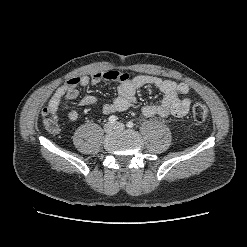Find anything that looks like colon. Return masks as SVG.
Returning <instances> with one entry per match:
<instances>
[{
    "label": "colon",
    "mask_w": 247,
    "mask_h": 247,
    "mask_svg": "<svg viewBox=\"0 0 247 247\" xmlns=\"http://www.w3.org/2000/svg\"><path fill=\"white\" fill-rule=\"evenodd\" d=\"M209 115V109L206 105L197 103L192 108V117L196 122H204ZM44 124L49 131H55L56 125L51 117L50 111L48 108L43 110Z\"/></svg>",
    "instance_id": "obj_1"
}]
</instances>
